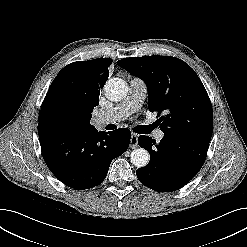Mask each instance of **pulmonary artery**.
Wrapping results in <instances>:
<instances>
[{"instance_id":"e3ab8cb5","label":"pulmonary artery","mask_w":247,"mask_h":247,"mask_svg":"<svg viewBox=\"0 0 247 247\" xmlns=\"http://www.w3.org/2000/svg\"><path fill=\"white\" fill-rule=\"evenodd\" d=\"M146 91L145 82L140 78H133L130 81L129 91L126 98L111 110L100 114L95 119V125L101 127L126 119L130 114L140 109L145 100ZM154 137L156 140L163 139V131L156 130L154 132Z\"/></svg>"}]
</instances>
